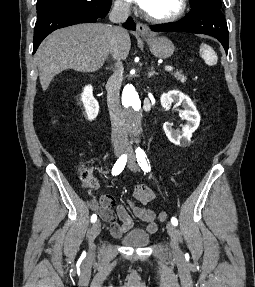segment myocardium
I'll list each match as a JSON object with an SVG mask.
<instances>
[{
  "label": "myocardium",
  "instance_id": "myocardium-1",
  "mask_svg": "<svg viewBox=\"0 0 255 287\" xmlns=\"http://www.w3.org/2000/svg\"><path fill=\"white\" fill-rule=\"evenodd\" d=\"M141 33H150V32H141ZM167 33H174V32H167ZM131 39H136V38H131ZM144 39H154V38H144ZM165 39H174V38H165ZM144 48H153V47H144Z\"/></svg>",
  "mask_w": 255,
  "mask_h": 287
}]
</instances>
